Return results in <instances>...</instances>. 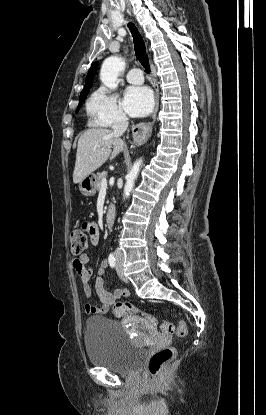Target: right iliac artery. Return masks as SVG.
<instances>
[{
	"instance_id": "82829eb1",
	"label": "right iliac artery",
	"mask_w": 266,
	"mask_h": 415,
	"mask_svg": "<svg viewBox=\"0 0 266 415\" xmlns=\"http://www.w3.org/2000/svg\"><path fill=\"white\" fill-rule=\"evenodd\" d=\"M108 262H109L110 267L114 268L116 266V259H115L114 254L109 255Z\"/></svg>"
}]
</instances>
